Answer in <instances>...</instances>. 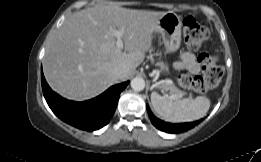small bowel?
I'll use <instances>...</instances> for the list:
<instances>
[{"instance_id": "1", "label": "small bowel", "mask_w": 261, "mask_h": 162, "mask_svg": "<svg viewBox=\"0 0 261 162\" xmlns=\"http://www.w3.org/2000/svg\"><path fill=\"white\" fill-rule=\"evenodd\" d=\"M174 67L177 69H186L194 74L200 71V65L196 61L195 56L190 52H182L174 63Z\"/></svg>"}]
</instances>
